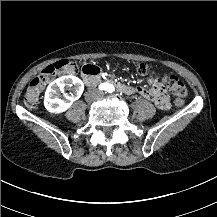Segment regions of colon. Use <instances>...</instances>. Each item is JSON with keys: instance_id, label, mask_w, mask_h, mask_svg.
Segmentation results:
<instances>
[{"instance_id": "obj_1", "label": "colon", "mask_w": 217, "mask_h": 217, "mask_svg": "<svg viewBox=\"0 0 217 217\" xmlns=\"http://www.w3.org/2000/svg\"><path fill=\"white\" fill-rule=\"evenodd\" d=\"M78 69L79 66L77 62L70 58H64L56 61V63L50 64L48 69L42 70V72L37 74V76L29 83L23 99L24 105L29 109L35 108L40 91L44 86L48 85L49 81L54 82L63 76L73 75L77 73ZM135 69L138 72H143L146 69V64L143 61H138L135 64ZM159 84L170 89L174 95H177L174 100L176 105L180 106L185 103L188 89L178 77L165 74ZM152 94L155 98L158 97L157 94Z\"/></svg>"}]
</instances>
